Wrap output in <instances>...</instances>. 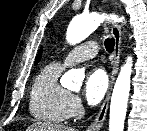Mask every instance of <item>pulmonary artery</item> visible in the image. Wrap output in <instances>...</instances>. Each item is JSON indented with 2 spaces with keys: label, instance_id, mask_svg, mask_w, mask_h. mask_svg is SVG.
<instances>
[{
  "label": "pulmonary artery",
  "instance_id": "1",
  "mask_svg": "<svg viewBox=\"0 0 147 131\" xmlns=\"http://www.w3.org/2000/svg\"><path fill=\"white\" fill-rule=\"evenodd\" d=\"M98 44L95 41L85 42L71 50L64 59V65L69 66L94 58L98 54Z\"/></svg>",
  "mask_w": 147,
  "mask_h": 131
}]
</instances>
